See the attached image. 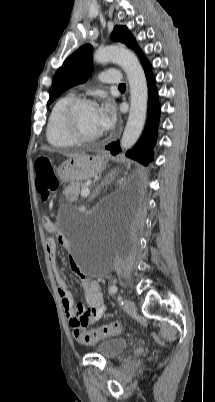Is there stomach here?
Returning <instances> with one entry per match:
<instances>
[{
  "instance_id": "1",
  "label": "stomach",
  "mask_w": 215,
  "mask_h": 402,
  "mask_svg": "<svg viewBox=\"0 0 215 402\" xmlns=\"http://www.w3.org/2000/svg\"><path fill=\"white\" fill-rule=\"evenodd\" d=\"M105 164L106 159L80 155L63 162L57 174L62 182L79 183L98 175Z\"/></svg>"
}]
</instances>
